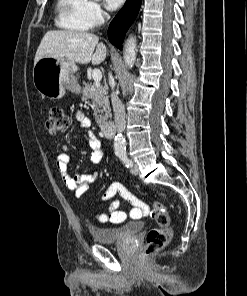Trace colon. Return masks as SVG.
Here are the masks:
<instances>
[{
    "label": "colon",
    "mask_w": 247,
    "mask_h": 296,
    "mask_svg": "<svg viewBox=\"0 0 247 296\" xmlns=\"http://www.w3.org/2000/svg\"><path fill=\"white\" fill-rule=\"evenodd\" d=\"M69 128V120L61 107H53L49 111L46 122V129L51 134H58L67 131ZM134 204L141 205V211L133 213L134 218H138L143 214H152L157 226L149 230L146 235V242L144 245V254L152 255L169 243L173 230L169 215L160 201H154L150 206L141 204V201L136 199Z\"/></svg>",
    "instance_id": "1"
}]
</instances>
